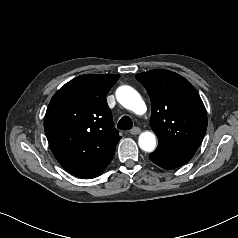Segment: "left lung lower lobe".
<instances>
[{
    "mask_svg": "<svg viewBox=\"0 0 238 238\" xmlns=\"http://www.w3.org/2000/svg\"><path fill=\"white\" fill-rule=\"evenodd\" d=\"M192 157L193 154L173 151L162 145H158L157 149L149 155L151 161L165 169L182 166Z\"/></svg>",
    "mask_w": 238,
    "mask_h": 238,
    "instance_id": "1",
    "label": "left lung lower lobe"
}]
</instances>
